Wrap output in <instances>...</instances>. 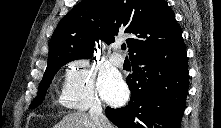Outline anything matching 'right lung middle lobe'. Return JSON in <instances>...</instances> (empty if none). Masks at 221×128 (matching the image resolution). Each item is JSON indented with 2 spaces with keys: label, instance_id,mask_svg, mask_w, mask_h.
I'll use <instances>...</instances> for the list:
<instances>
[{
  "label": "right lung middle lobe",
  "instance_id": "dd1d6c3e",
  "mask_svg": "<svg viewBox=\"0 0 221 128\" xmlns=\"http://www.w3.org/2000/svg\"><path fill=\"white\" fill-rule=\"evenodd\" d=\"M79 58H72V59H65L57 63L49 64L47 65V69L44 73L43 79L40 83L39 89H38V94L36 98L33 100V102L30 105V108H35L38 106L41 101L43 100L46 90L48 89L54 75L57 73V71L66 63L72 60H76Z\"/></svg>",
  "mask_w": 221,
  "mask_h": 128
}]
</instances>
